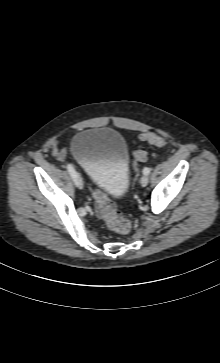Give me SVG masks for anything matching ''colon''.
<instances>
[{
	"label": "colon",
	"mask_w": 220,
	"mask_h": 363,
	"mask_svg": "<svg viewBox=\"0 0 220 363\" xmlns=\"http://www.w3.org/2000/svg\"><path fill=\"white\" fill-rule=\"evenodd\" d=\"M141 139L157 146L164 144V139L152 132L142 133ZM133 158L135 162L145 161L147 159L146 151L142 147H138L133 154ZM93 197L95 200L96 214L105 221L111 230L120 234H125L130 231L131 222L116 209L114 203L104 192L95 190Z\"/></svg>",
	"instance_id": "colon-1"
}]
</instances>
